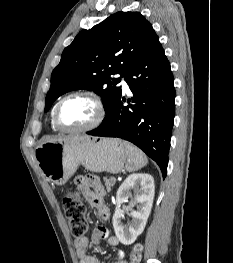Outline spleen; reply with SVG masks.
Listing matches in <instances>:
<instances>
[{"instance_id": "1", "label": "spleen", "mask_w": 233, "mask_h": 263, "mask_svg": "<svg viewBox=\"0 0 233 263\" xmlns=\"http://www.w3.org/2000/svg\"><path fill=\"white\" fill-rule=\"evenodd\" d=\"M124 145L128 158L125 166L127 171L135 172L147 165L148 159L139 148L129 142H124Z\"/></svg>"}]
</instances>
